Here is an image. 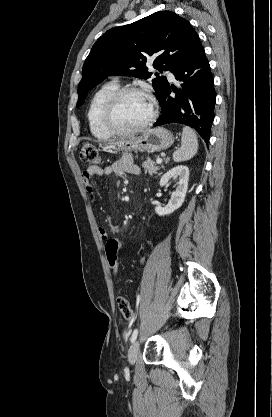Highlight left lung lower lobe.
I'll return each instance as SVG.
<instances>
[{"label": "left lung lower lobe", "mask_w": 272, "mask_h": 417, "mask_svg": "<svg viewBox=\"0 0 272 417\" xmlns=\"http://www.w3.org/2000/svg\"><path fill=\"white\" fill-rule=\"evenodd\" d=\"M179 88L167 85L158 99L162 114L154 126L180 123L194 128L207 143L216 101L214 80L203 46L183 59L173 70ZM171 90L176 95L170 96Z\"/></svg>", "instance_id": "left-lung-lower-lobe-1"}]
</instances>
